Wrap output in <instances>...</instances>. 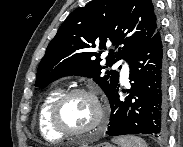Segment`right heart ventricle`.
Returning a JSON list of instances; mask_svg holds the SVG:
<instances>
[{
  "mask_svg": "<svg viewBox=\"0 0 183 147\" xmlns=\"http://www.w3.org/2000/svg\"><path fill=\"white\" fill-rule=\"evenodd\" d=\"M63 93V89H51L44 97L38 112V125L41 135L47 140H61L63 134L57 132L50 123V111L53 103Z\"/></svg>",
  "mask_w": 183,
  "mask_h": 147,
  "instance_id": "e07e8e85",
  "label": "right heart ventricle"
}]
</instances>
